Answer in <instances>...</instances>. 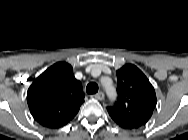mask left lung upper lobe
I'll list each match as a JSON object with an SVG mask.
<instances>
[{"label": "left lung upper lobe", "instance_id": "obj_1", "mask_svg": "<svg viewBox=\"0 0 188 140\" xmlns=\"http://www.w3.org/2000/svg\"><path fill=\"white\" fill-rule=\"evenodd\" d=\"M118 98L107 110L111 118L122 128L136 129L144 126L156 106L153 86L143 72L132 64L117 71Z\"/></svg>", "mask_w": 188, "mask_h": 140}]
</instances>
